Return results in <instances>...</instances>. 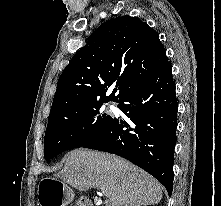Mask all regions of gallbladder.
<instances>
[{
	"label": "gallbladder",
	"mask_w": 221,
	"mask_h": 206,
	"mask_svg": "<svg viewBox=\"0 0 221 206\" xmlns=\"http://www.w3.org/2000/svg\"><path fill=\"white\" fill-rule=\"evenodd\" d=\"M91 197L93 198V202H104V197H96L95 193H92ZM93 206H100V204L94 203Z\"/></svg>",
	"instance_id": "obj_1"
}]
</instances>
